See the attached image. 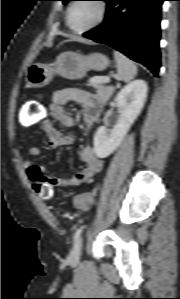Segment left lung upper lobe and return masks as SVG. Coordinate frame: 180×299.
Listing matches in <instances>:
<instances>
[{"mask_svg": "<svg viewBox=\"0 0 180 299\" xmlns=\"http://www.w3.org/2000/svg\"><path fill=\"white\" fill-rule=\"evenodd\" d=\"M63 1L64 4H66L68 1H71V0H61Z\"/></svg>", "mask_w": 180, "mask_h": 299, "instance_id": "left-lung-upper-lobe-1", "label": "left lung upper lobe"}]
</instances>
